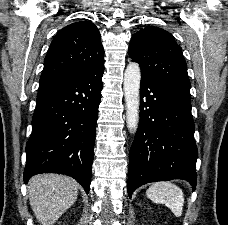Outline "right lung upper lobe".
<instances>
[{
  "mask_svg": "<svg viewBox=\"0 0 228 225\" xmlns=\"http://www.w3.org/2000/svg\"><path fill=\"white\" fill-rule=\"evenodd\" d=\"M98 28L90 21L72 23L57 33L44 60L40 85L84 73L104 62Z\"/></svg>",
  "mask_w": 228,
  "mask_h": 225,
  "instance_id": "cb5924a9",
  "label": "right lung upper lobe"
}]
</instances>
